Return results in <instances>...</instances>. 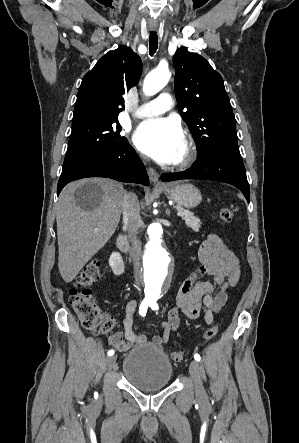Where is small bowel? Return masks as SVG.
<instances>
[{"label": "small bowel", "instance_id": "small-bowel-1", "mask_svg": "<svg viewBox=\"0 0 299 443\" xmlns=\"http://www.w3.org/2000/svg\"><path fill=\"white\" fill-rule=\"evenodd\" d=\"M201 266L181 284L175 306L168 313V320L161 323V335H154L151 344L162 347L171 334L182 328L180 314L190 319L204 316L207 324L213 322L215 314L221 313L227 303L228 287H235L240 280L242 267L239 258L223 244L214 233L208 234L198 251ZM211 276L213 281L201 280ZM136 300H130L125 308L123 331L111 335L110 344L120 352L147 342L146 336L133 330Z\"/></svg>", "mask_w": 299, "mask_h": 443}]
</instances>
